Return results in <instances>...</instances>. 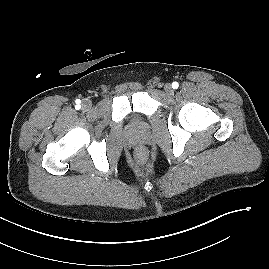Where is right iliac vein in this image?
<instances>
[{"label": "right iliac vein", "instance_id": "obj_1", "mask_svg": "<svg viewBox=\"0 0 269 269\" xmlns=\"http://www.w3.org/2000/svg\"><path fill=\"white\" fill-rule=\"evenodd\" d=\"M91 106H92V102L90 100H88V99L83 100V102H82V108L84 110L90 109Z\"/></svg>", "mask_w": 269, "mask_h": 269}]
</instances>
